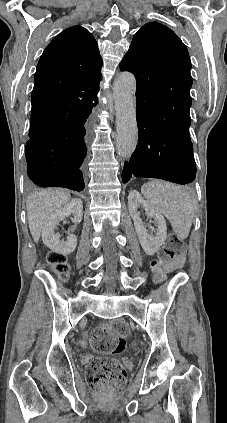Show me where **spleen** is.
I'll list each match as a JSON object with an SVG mask.
<instances>
[{"label": "spleen", "mask_w": 227, "mask_h": 423, "mask_svg": "<svg viewBox=\"0 0 227 423\" xmlns=\"http://www.w3.org/2000/svg\"><path fill=\"white\" fill-rule=\"evenodd\" d=\"M148 206L169 219L177 237H188L194 217V204L183 188L163 180H152L141 188Z\"/></svg>", "instance_id": "spleen-1"}]
</instances>
